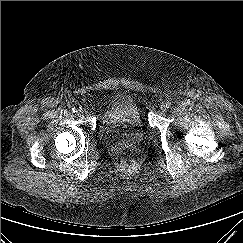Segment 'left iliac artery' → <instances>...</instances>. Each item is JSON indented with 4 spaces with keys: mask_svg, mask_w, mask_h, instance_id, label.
<instances>
[{
    "mask_svg": "<svg viewBox=\"0 0 243 243\" xmlns=\"http://www.w3.org/2000/svg\"><path fill=\"white\" fill-rule=\"evenodd\" d=\"M170 106H171V102L168 101V102L166 103V108H170Z\"/></svg>",
    "mask_w": 243,
    "mask_h": 243,
    "instance_id": "left-iliac-artery-1",
    "label": "left iliac artery"
}]
</instances>
